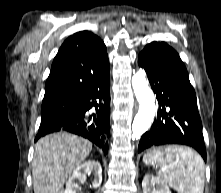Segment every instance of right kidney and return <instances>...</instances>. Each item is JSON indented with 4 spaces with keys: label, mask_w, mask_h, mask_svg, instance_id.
I'll return each mask as SVG.
<instances>
[{
    "label": "right kidney",
    "mask_w": 221,
    "mask_h": 193,
    "mask_svg": "<svg viewBox=\"0 0 221 193\" xmlns=\"http://www.w3.org/2000/svg\"><path fill=\"white\" fill-rule=\"evenodd\" d=\"M94 172L93 186L99 187L102 182V168L99 162L88 161L79 165L69 177L63 193H78L81 190L79 183L86 181V175Z\"/></svg>",
    "instance_id": "ca27d5eb"
}]
</instances>
